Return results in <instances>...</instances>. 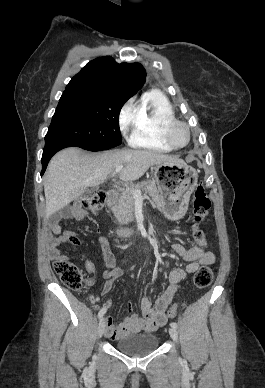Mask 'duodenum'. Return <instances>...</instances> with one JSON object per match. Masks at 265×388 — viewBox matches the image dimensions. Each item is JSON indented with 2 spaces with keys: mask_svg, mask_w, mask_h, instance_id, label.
Listing matches in <instances>:
<instances>
[{
  "mask_svg": "<svg viewBox=\"0 0 265 388\" xmlns=\"http://www.w3.org/2000/svg\"><path fill=\"white\" fill-rule=\"evenodd\" d=\"M118 192L115 191V190H110L107 194V205L108 206H114L116 203H117V200H118ZM120 233L122 235H131L134 233V230L133 229H121L120 230Z\"/></svg>",
  "mask_w": 265,
  "mask_h": 388,
  "instance_id": "410a0bca",
  "label": "duodenum"
}]
</instances>
